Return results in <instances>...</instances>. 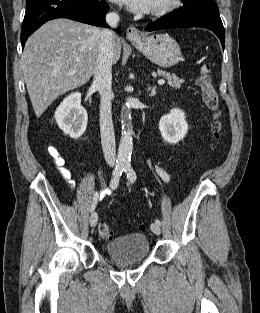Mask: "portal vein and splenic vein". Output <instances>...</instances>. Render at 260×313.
<instances>
[{"label": "portal vein and splenic vein", "mask_w": 260, "mask_h": 313, "mask_svg": "<svg viewBox=\"0 0 260 313\" xmlns=\"http://www.w3.org/2000/svg\"><path fill=\"white\" fill-rule=\"evenodd\" d=\"M164 83H165V81H164L163 79H159V80H158V84H159V85H163Z\"/></svg>", "instance_id": "18ae733b"}]
</instances>
